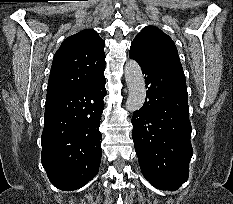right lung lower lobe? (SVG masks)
Masks as SVG:
<instances>
[{
  "instance_id": "98d812e1",
  "label": "right lung lower lobe",
  "mask_w": 233,
  "mask_h": 204,
  "mask_svg": "<svg viewBox=\"0 0 233 204\" xmlns=\"http://www.w3.org/2000/svg\"><path fill=\"white\" fill-rule=\"evenodd\" d=\"M104 70L88 84L46 99L41 162L51 183L61 190L81 188L98 173Z\"/></svg>"
}]
</instances>
